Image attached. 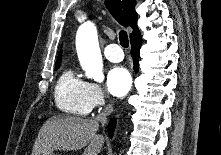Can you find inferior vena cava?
I'll return each mask as SVG.
<instances>
[{
  "label": "inferior vena cava",
  "mask_w": 221,
  "mask_h": 155,
  "mask_svg": "<svg viewBox=\"0 0 221 155\" xmlns=\"http://www.w3.org/2000/svg\"><path fill=\"white\" fill-rule=\"evenodd\" d=\"M113 112V107L111 104L107 105L105 109L96 116L95 121L101 122L103 125L107 122V116Z\"/></svg>",
  "instance_id": "obj_1"
}]
</instances>
